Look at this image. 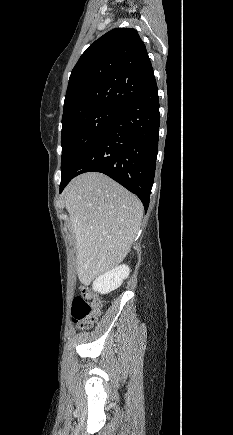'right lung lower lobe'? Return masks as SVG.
I'll use <instances>...</instances> for the list:
<instances>
[{"mask_svg":"<svg viewBox=\"0 0 233 435\" xmlns=\"http://www.w3.org/2000/svg\"><path fill=\"white\" fill-rule=\"evenodd\" d=\"M158 88L154 80L131 100L61 179L60 193L84 172H102L142 201L145 211L155 176L159 139Z\"/></svg>","mask_w":233,"mask_h":435,"instance_id":"right-lung-lower-lobe-1","label":"right lung lower lobe"}]
</instances>
